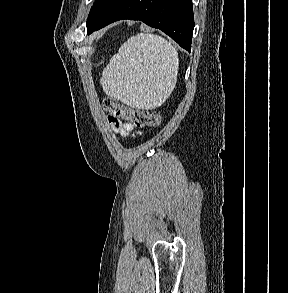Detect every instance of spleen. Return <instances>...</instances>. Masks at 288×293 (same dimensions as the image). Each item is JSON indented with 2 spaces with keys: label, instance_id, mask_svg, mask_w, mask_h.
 Returning a JSON list of instances; mask_svg holds the SVG:
<instances>
[{
  "label": "spleen",
  "instance_id": "obj_1",
  "mask_svg": "<svg viewBox=\"0 0 288 293\" xmlns=\"http://www.w3.org/2000/svg\"><path fill=\"white\" fill-rule=\"evenodd\" d=\"M178 67V53L170 42L159 35L138 33L110 59L100 83L114 99L138 109H153L174 90Z\"/></svg>",
  "mask_w": 288,
  "mask_h": 293
}]
</instances>
